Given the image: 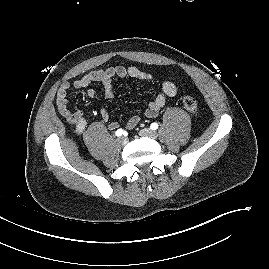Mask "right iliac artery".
I'll return each instance as SVG.
<instances>
[{
	"instance_id": "82829eb1",
	"label": "right iliac artery",
	"mask_w": 269,
	"mask_h": 269,
	"mask_svg": "<svg viewBox=\"0 0 269 269\" xmlns=\"http://www.w3.org/2000/svg\"><path fill=\"white\" fill-rule=\"evenodd\" d=\"M125 133V131L123 129H118L115 134L116 136H122Z\"/></svg>"
}]
</instances>
